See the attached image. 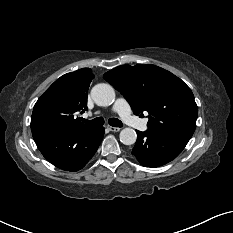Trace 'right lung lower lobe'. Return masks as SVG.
Listing matches in <instances>:
<instances>
[{
	"instance_id": "1",
	"label": "right lung lower lobe",
	"mask_w": 233,
	"mask_h": 233,
	"mask_svg": "<svg viewBox=\"0 0 233 233\" xmlns=\"http://www.w3.org/2000/svg\"><path fill=\"white\" fill-rule=\"evenodd\" d=\"M104 128H89L76 133H41L33 139L43 156L65 171L83 168L97 151Z\"/></svg>"
}]
</instances>
